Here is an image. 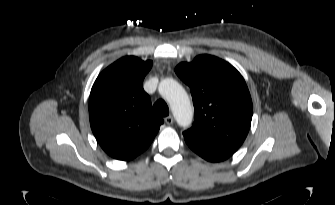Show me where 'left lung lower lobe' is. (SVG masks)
Instances as JSON below:
<instances>
[{"label": "left lung lower lobe", "instance_id": "0a47b994", "mask_svg": "<svg viewBox=\"0 0 335 205\" xmlns=\"http://www.w3.org/2000/svg\"><path fill=\"white\" fill-rule=\"evenodd\" d=\"M185 141L194 152H196L202 158L210 162L223 161L229 158L234 153V152L210 149L186 139Z\"/></svg>", "mask_w": 335, "mask_h": 205}]
</instances>
